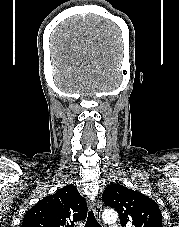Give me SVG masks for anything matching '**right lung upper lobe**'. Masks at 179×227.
Listing matches in <instances>:
<instances>
[{
	"label": "right lung upper lobe",
	"mask_w": 179,
	"mask_h": 227,
	"mask_svg": "<svg viewBox=\"0 0 179 227\" xmlns=\"http://www.w3.org/2000/svg\"><path fill=\"white\" fill-rule=\"evenodd\" d=\"M87 216V203L76 187L67 185L28 210L21 227H74Z\"/></svg>",
	"instance_id": "cb5924a9"
}]
</instances>
